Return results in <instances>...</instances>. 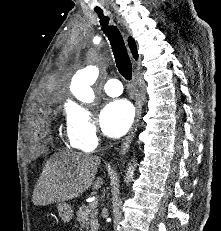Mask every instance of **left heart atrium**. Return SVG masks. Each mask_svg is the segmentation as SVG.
Wrapping results in <instances>:
<instances>
[{
  "label": "left heart atrium",
  "mask_w": 221,
  "mask_h": 231,
  "mask_svg": "<svg viewBox=\"0 0 221 231\" xmlns=\"http://www.w3.org/2000/svg\"><path fill=\"white\" fill-rule=\"evenodd\" d=\"M133 115V108L127 101H111L102 110L100 118L101 128L110 137H120L130 128Z\"/></svg>",
  "instance_id": "1"
}]
</instances>
